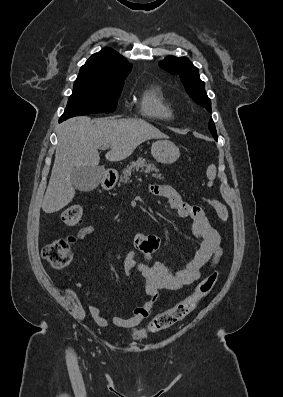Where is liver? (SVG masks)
I'll return each mask as SVG.
<instances>
[{"label":"liver","instance_id":"obj_1","mask_svg":"<svg viewBox=\"0 0 283 397\" xmlns=\"http://www.w3.org/2000/svg\"><path fill=\"white\" fill-rule=\"evenodd\" d=\"M57 136L55 161L42 203L45 213L58 212L73 200V169L97 167L101 146L109 145L111 150L105 158L117 162L129 157L146 140L167 137L142 119L91 120L85 116L63 122Z\"/></svg>","mask_w":283,"mask_h":397}]
</instances>
